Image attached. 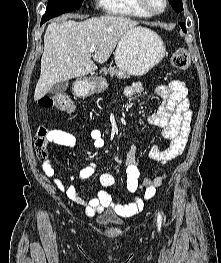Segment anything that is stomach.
<instances>
[{
    "label": "stomach",
    "instance_id": "1",
    "mask_svg": "<svg viewBox=\"0 0 221 263\" xmlns=\"http://www.w3.org/2000/svg\"><path fill=\"white\" fill-rule=\"evenodd\" d=\"M162 39L148 29H133L126 32L115 51L117 67L130 75L142 76L156 66L165 56ZM85 93L103 90L107 83L102 78L81 82Z\"/></svg>",
    "mask_w": 221,
    "mask_h": 263
}]
</instances>
